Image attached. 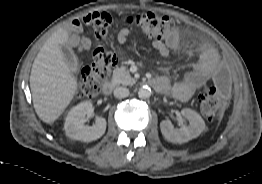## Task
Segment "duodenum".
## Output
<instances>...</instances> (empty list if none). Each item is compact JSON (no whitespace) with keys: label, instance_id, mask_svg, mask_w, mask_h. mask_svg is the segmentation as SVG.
Instances as JSON below:
<instances>
[{"label":"duodenum","instance_id":"obj_1","mask_svg":"<svg viewBox=\"0 0 262 184\" xmlns=\"http://www.w3.org/2000/svg\"><path fill=\"white\" fill-rule=\"evenodd\" d=\"M148 84L153 87L154 89H157L159 87V82L155 80V78L149 79L148 80ZM114 84L112 81H106L103 85H102V92L105 95H109L111 94L112 90H113Z\"/></svg>","mask_w":262,"mask_h":184}]
</instances>
